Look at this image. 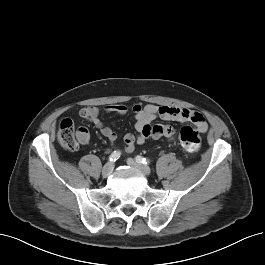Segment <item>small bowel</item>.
I'll return each mask as SVG.
<instances>
[{"label":"small bowel","mask_w":265,"mask_h":265,"mask_svg":"<svg viewBox=\"0 0 265 265\" xmlns=\"http://www.w3.org/2000/svg\"><path fill=\"white\" fill-rule=\"evenodd\" d=\"M136 114L135 134L128 133L124 136V152L132 153L135 150L136 144H143L149 138H166L172 139L174 130L170 125L159 124L151 125V121L159 117L165 121L177 122H192L197 129L205 133L208 129V124L204 116L195 110L174 106H158L148 104L142 107L136 104L132 107ZM105 112L117 113L124 115L128 112V108L122 104L108 105L104 108ZM79 115L90 121L99 132L108 138L112 143L117 140V134L99 118L100 109L95 106H87L80 110ZM78 140L81 144H86L90 139L89 131L86 127L80 126L77 129Z\"/></svg>","instance_id":"c3829d8e"}]
</instances>
